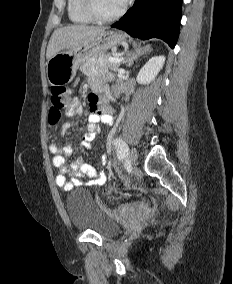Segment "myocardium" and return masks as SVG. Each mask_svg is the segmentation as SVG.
Instances as JSON below:
<instances>
[{"label":"myocardium","instance_id":"myocardium-1","mask_svg":"<svg viewBox=\"0 0 233 284\" xmlns=\"http://www.w3.org/2000/svg\"><path fill=\"white\" fill-rule=\"evenodd\" d=\"M84 8L93 20L99 22H110L120 18L124 14L126 5L123 4L118 11L110 15H106L100 12L97 7L96 0H84Z\"/></svg>","mask_w":233,"mask_h":284}]
</instances>
